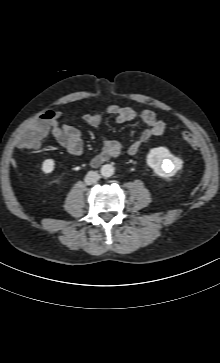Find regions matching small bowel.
Masks as SVG:
<instances>
[{
	"label": "small bowel",
	"mask_w": 220,
	"mask_h": 363,
	"mask_svg": "<svg viewBox=\"0 0 220 363\" xmlns=\"http://www.w3.org/2000/svg\"><path fill=\"white\" fill-rule=\"evenodd\" d=\"M106 115L115 116L116 121L119 123H124L139 118L146 124L147 127L143 130L140 137L127 147V152L130 155H136L146 142H148L153 137L163 134L166 128L165 122L158 119L155 112L150 109L136 110L129 106L111 105L107 107L104 112L85 114L83 116V120L87 124L97 128L101 132L102 136L103 148L100 154L92 159L91 164L93 166H98L109 159L116 158L125 150V146L123 144L108 138L105 134L102 133L101 123ZM59 116L60 113L57 112L56 118L51 124L50 132L52 136L55 138L57 143L70 155H82L84 146L80 130L77 127L67 123L59 124L57 120ZM39 144L36 146L27 145L25 134L18 142V146L21 149H36Z\"/></svg>",
	"instance_id": "c3829d8e"
}]
</instances>
